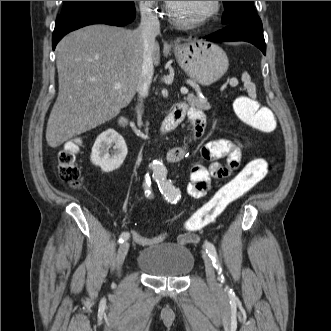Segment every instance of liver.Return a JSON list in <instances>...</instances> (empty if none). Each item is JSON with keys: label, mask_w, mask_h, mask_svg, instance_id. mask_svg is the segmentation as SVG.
I'll use <instances>...</instances> for the list:
<instances>
[{"label": "liver", "mask_w": 331, "mask_h": 331, "mask_svg": "<svg viewBox=\"0 0 331 331\" xmlns=\"http://www.w3.org/2000/svg\"><path fill=\"white\" fill-rule=\"evenodd\" d=\"M56 52L59 92L46 128L52 148L113 119L132 101L142 82L143 41L138 30L91 25L66 35ZM152 61L160 62L157 42Z\"/></svg>", "instance_id": "6515ba94"}]
</instances>
